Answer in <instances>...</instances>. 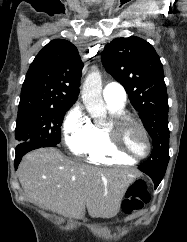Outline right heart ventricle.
<instances>
[{
  "label": "right heart ventricle",
  "instance_id": "1",
  "mask_svg": "<svg viewBox=\"0 0 187 242\" xmlns=\"http://www.w3.org/2000/svg\"><path fill=\"white\" fill-rule=\"evenodd\" d=\"M111 115L124 114V108H110ZM97 139L94 145L87 151V161L95 165H130L134 162L126 157L116 154L109 146L105 127L96 126Z\"/></svg>",
  "mask_w": 187,
  "mask_h": 242
}]
</instances>
